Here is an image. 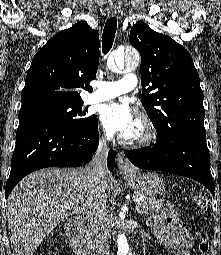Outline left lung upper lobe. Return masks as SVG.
I'll use <instances>...</instances> for the list:
<instances>
[{
    "label": "left lung upper lobe",
    "instance_id": "obj_1",
    "mask_svg": "<svg viewBox=\"0 0 221 255\" xmlns=\"http://www.w3.org/2000/svg\"><path fill=\"white\" fill-rule=\"evenodd\" d=\"M129 41L141 55L142 104L158 139L206 135L203 92L188 51L147 24L133 25ZM152 91V94H148Z\"/></svg>",
    "mask_w": 221,
    "mask_h": 255
}]
</instances>
